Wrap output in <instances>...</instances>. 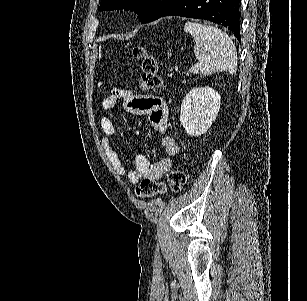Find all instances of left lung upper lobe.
Returning <instances> with one entry per match:
<instances>
[{"label":"left lung upper lobe","instance_id":"obj_1","mask_svg":"<svg viewBox=\"0 0 307 301\" xmlns=\"http://www.w3.org/2000/svg\"><path fill=\"white\" fill-rule=\"evenodd\" d=\"M175 0H102L99 11L123 9L138 13L142 23L156 20Z\"/></svg>","mask_w":307,"mask_h":301}]
</instances>
